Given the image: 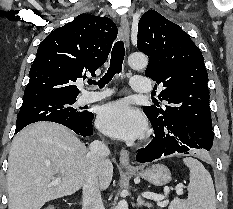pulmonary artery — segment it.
<instances>
[{"instance_id": "1", "label": "pulmonary artery", "mask_w": 233, "mask_h": 209, "mask_svg": "<svg viewBox=\"0 0 233 209\" xmlns=\"http://www.w3.org/2000/svg\"><path fill=\"white\" fill-rule=\"evenodd\" d=\"M131 87L136 92L149 93L151 91V85L148 78L142 76H133L131 78ZM112 93L109 89H103L101 91H87L81 96V102L84 104L99 101L106 98Z\"/></svg>"}]
</instances>
